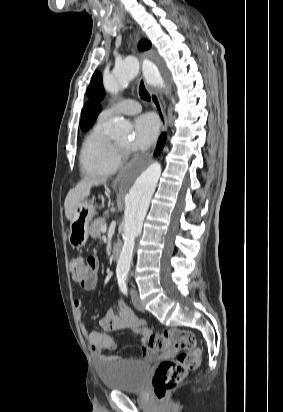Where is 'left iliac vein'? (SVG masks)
I'll return each mask as SVG.
<instances>
[{
  "label": "left iliac vein",
  "mask_w": 283,
  "mask_h": 412,
  "mask_svg": "<svg viewBox=\"0 0 283 412\" xmlns=\"http://www.w3.org/2000/svg\"><path fill=\"white\" fill-rule=\"evenodd\" d=\"M131 298H132V302L133 305L135 306V308L141 312H144V306L139 298L138 292L136 289H131Z\"/></svg>",
  "instance_id": "1"
}]
</instances>
